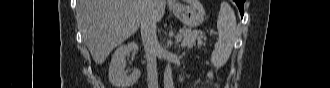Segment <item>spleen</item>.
<instances>
[{"label": "spleen", "mask_w": 330, "mask_h": 88, "mask_svg": "<svg viewBox=\"0 0 330 88\" xmlns=\"http://www.w3.org/2000/svg\"><path fill=\"white\" fill-rule=\"evenodd\" d=\"M217 29L219 38L212 52L211 61L216 67H222L228 61L239 36L234 11L225 1L220 6Z\"/></svg>", "instance_id": "obj_1"}]
</instances>
